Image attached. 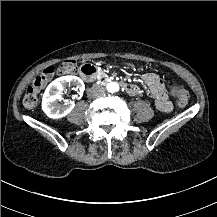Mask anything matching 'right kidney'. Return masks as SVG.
Segmentation results:
<instances>
[{
  "mask_svg": "<svg viewBox=\"0 0 217 217\" xmlns=\"http://www.w3.org/2000/svg\"><path fill=\"white\" fill-rule=\"evenodd\" d=\"M66 86H74L76 91L79 90L80 97L85 90L84 82L77 76H62L54 80L48 85L42 98V109L48 117L62 118L74 108L75 103L73 101L64 100L63 104L58 103V101L63 100L61 93Z\"/></svg>",
  "mask_w": 217,
  "mask_h": 217,
  "instance_id": "1",
  "label": "right kidney"
}]
</instances>
